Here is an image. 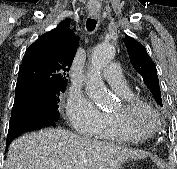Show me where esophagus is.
Here are the masks:
<instances>
[{
  "label": "esophagus",
  "instance_id": "esophagus-1",
  "mask_svg": "<svg viewBox=\"0 0 177 169\" xmlns=\"http://www.w3.org/2000/svg\"><path fill=\"white\" fill-rule=\"evenodd\" d=\"M89 15L93 18H96L100 14V5L88 6Z\"/></svg>",
  "mask_w": 177,
  "mask_h": 169
}]
</instances>
